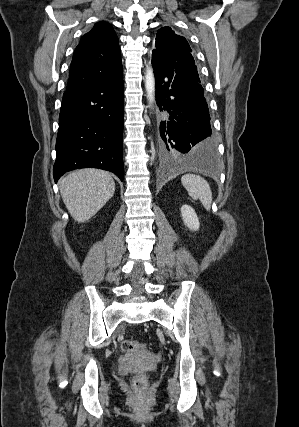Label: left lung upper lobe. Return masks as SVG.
Masks as SVG:
<instances>
[{"label":"left lung upper lobe","mask_w":299,"mask_h":427,"mask_svg":"<svg viewBox=\"0 0 299 427\" xmlns=\"http://www.w3.org/2000/svg\"><path fill=\"white\" fill-rule=\"evenodd\" d=\"M181 46H185L191 51L187 40L183 36L177 35L170 27H163L158 30L155 49L168 50ZM192 75L198 82H201L196 66L193 68Z\"/></svg>","instance_id":"5c2ea615"}]
</instances>
